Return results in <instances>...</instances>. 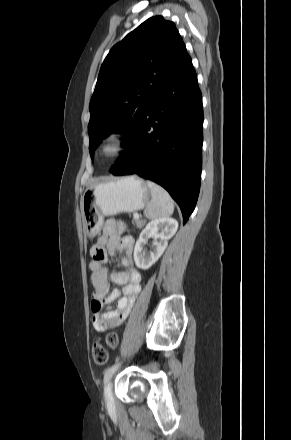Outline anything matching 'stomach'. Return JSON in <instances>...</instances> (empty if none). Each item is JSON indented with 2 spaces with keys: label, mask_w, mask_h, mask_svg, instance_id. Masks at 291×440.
<instances>
[{
  "label": "stomach",
  "mask_w": 291,
  "mask_h": 440,
  "mask_svg": "<svg viewBox=\"0 0 291 440\" xmlns=\"http://www.w3.org/2000/svg\"><path fill=\"white\" fill-rule=\"evenodd\" d=\"M150 198V189L137 176L115 178L89 186L81 201L86 234L95 236L103 225L104 216L141 210Z\"/></svg>",
  "instance_id": "0dacf381"
}]
</instances>
